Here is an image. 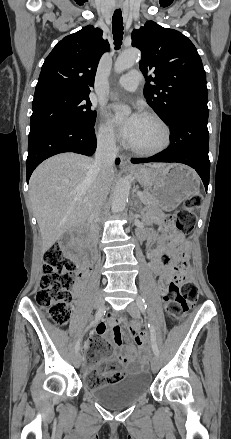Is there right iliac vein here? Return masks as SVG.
I'll list each match as a JSON object with an SVG mask.
<instances>
[{"label":"right iliac vein","mask_w":231,"mask_h":439,"mask_svg":"<svg viewBox=\"0 0 231 439\" xmlns=\"http://www.w3.org/2000/svg\"><path fill=\"white\" fill-rule=\"evenodd\" d=\"M105 300H104V294L103 292H100L96 299H95V306L98 309L97 313H98V317L97 319L99 320L104 312H105ZM82 362V356L80 352H76L75 356H74V365L76 368H79Z\"/></svg>","instance_id":"63e3f726"}]
</instances>
